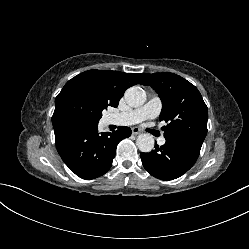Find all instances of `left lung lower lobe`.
Masks as SVG:
<instances>
[{
	"label": "left lung lower lobe",
	"instance_id": "left-lung-lower-lobe-1",
	"mask_svg": "<svg viewBox=\"0 0 249 249\" xmlns=\"http://www.w3.org/2000/svg\"><path fill=\"white\" fill-rule=\"evenodd\" d=\"M202 142L189 138L166 139L149 153H141L144 168L161 180H172L186 173L196 162Z\"/></svg>",
	"mask_w": 249,
	"mask_h": 249
}]
</instances>
